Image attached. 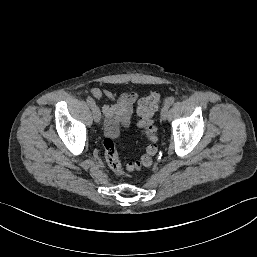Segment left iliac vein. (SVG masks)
<instances>
[{
  "label": "left iliac vein",
  "instance_id": "1",
  "mask_svg": "<svg viewBox=\"0 0 257 257\" xmlns=\"http://www.w3.org/2000/svg\"><path fill=\"white\" fill-rule=\"evenodd\" d=\"M168 108H169V106L164 104L163 108L161 109L160 116H161L162 120H166L167 114H168Z\"/></svg>",
  "mask_w": 257,
  "mask_h": 257
}]
</instances>
